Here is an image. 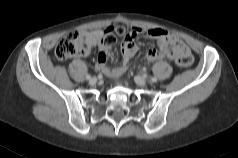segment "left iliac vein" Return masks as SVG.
<instances>
[{
  "mask_svg": "<svg viewBox=\"0 0 238 158\" xmlns=\"http://www.w3.org/2000/svg\"><path fill=\"white\" fill-rule=\"evenodd\" d=\"M135 82L139 85V86H145L147 84V81L145 78L140 77V76H136L135 77Z\"/></svg>",
  "mask_w": 238,
  "mask_h": 158,
  "instance_id": "1",
  "label": "left iliac vein"
}]
</instances>
